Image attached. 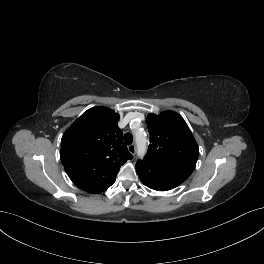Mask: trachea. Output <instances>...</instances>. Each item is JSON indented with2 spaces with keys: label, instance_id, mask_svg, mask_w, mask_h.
Returning a JSON list of instances; mask_svg holds the SVG:
<instances>
[{
  "label": "trachea",
  "instance_id": "obj_1",
  "mask_svg": "<svg viewBox=\"0 0 264 264\" xmlns=\"http://www.w3.org/2000/svg\"><path fill=\"white\" fill-rule=\"evenodd\" d=\"M124 142L127 145H130L133 142V136H132L131 133H125V135H124Z\"/></svg>",
  "mask_w": 264,
  "mask_h": 264
}]
</instances>
